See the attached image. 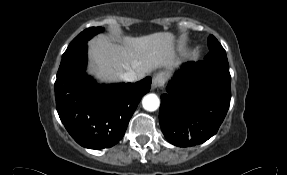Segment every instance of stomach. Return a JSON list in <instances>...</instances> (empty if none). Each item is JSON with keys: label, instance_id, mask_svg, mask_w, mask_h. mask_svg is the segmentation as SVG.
<instances>
[{"label": "stomach", "instance_id": "stomach-1", "mask_svg": "<svg viewBox=\"0 0 287 175\" xmlns=\"http://www.w3.org/2000/svg\"><path fill=\"white\" fill-rule=\"evenodd\" d=\"M164 75H165L166 77H168V76H169V72L164 73Z\"/></svg>", "mask_w": 287, "mask_h": 175}]
</instances>
